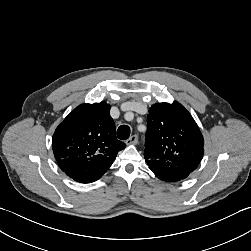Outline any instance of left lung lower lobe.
<instances>
[{"label":"left lung lower lobe","mask_w":251,"mask_h":251,"mask_svg":"<svg viewBox=\"0 0 251 251\" xmlns=\"http://www.w3.org/2000/svg\"><path fill=\"white\" fill-rule=\"evenodd\" d=\"M145 160L149 169L161 180L166 182H176L185 179L197 166L192 164L187 166H173L163 164L160 160L145 155Z\"/></svg>","instance_id":"0a47b994"}]
</instances>
